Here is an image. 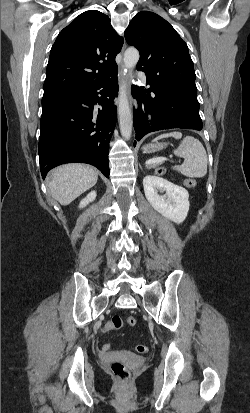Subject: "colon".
I'll return each mask as SVG.
<instances>
[{
  "label": "colon",
  "instance_id": "5ec220e1",
  "mask_svg": "<svg viewBox=\"0 0 250 413\" xmlns=\"http://www.w3.org/2000/svg\"><path fill=\"white\" fill-rule=\"evenodd\" d=\"M165 172H166V169L161 167L156 170V175L162 176ZM196 184L197 182L195 179H187L185 181V185L189 188L195 187ZM135 324H136V319L133 316H125V317L115 316L112 318V320H106L104 322L105 328L100 329V334L106 335L107 331L118 330L124 326L133 327ZM111 348H112V343L105 341L102 344L101 350L104 353H107L110 351ZM135 350L138 353H146L148 351V347L146 345H136ZM110 370L112 374L114 375V377L121 383L127 382L130 378L129 369L123 362L119 360H115L111 363Z\"/></svg>",
  "mask_w": 250,
  "mask_h": 413
}]
</instances>
